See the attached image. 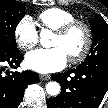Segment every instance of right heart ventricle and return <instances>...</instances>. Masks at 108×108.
Listing matches in <instances>:
<instances>
[{
    "label": "right heart ventricle",
    "mask_w": 108,
    "mask_h": 108,
    "mask_svg": "<svg viewBox=\"0 0 108 108\" xmlns=\"http://www.w3.org/2000/svg\"><path fill=\"white\" fill-rule=\"evenodd\" d=\"M45 29L56 30L61 26L76 20L75 15L68 10L54 7L42 11L37 17Z\"/></svg>",
    "instance_id": "1"
}]
</instances>
